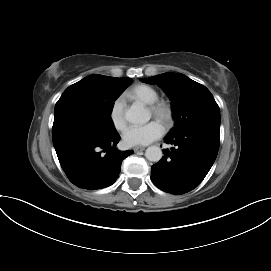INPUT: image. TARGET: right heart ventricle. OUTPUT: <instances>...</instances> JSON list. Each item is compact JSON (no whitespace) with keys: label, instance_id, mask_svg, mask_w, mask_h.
Instances as JSON below:
<instances>
[{"label":"right heart ventricle","instance_id":"e07e8e85","mask_svg":"<svg viewBox=\"0 0 271 271\" xmlns=\"http://www.w3.org/2000/svg\"><path fill=\"white\" fill-rule=\"evenodd\" d=\"M127 95L135 100L141 101L146 105H151L159 99L157 90L147 84H139L134 86L127 92Z\"/></svg>","mask_w":271,"mask_h":271}]
</instances>
